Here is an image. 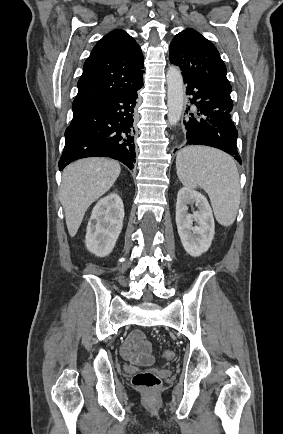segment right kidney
Listing matches in <instances>:
<instances>
[{"mask_svg":"<svg viewBox=\"0 0 283 434\" xmlns=\"http://www.w3.org/2000/svg\"><path fill=\"white\" fill-rule=\"evenodd\" d=\"M124 206L116 193L100 199L93 208L85 237L88 251L98 257L109 255L122 230Z\"/></svg>","mask_w":283,"mask_h":434,"instance_id":"right-kidney-1","label":"right kidney"}]
</instances>
